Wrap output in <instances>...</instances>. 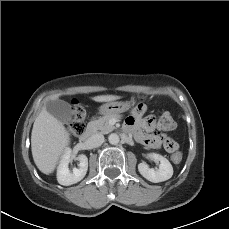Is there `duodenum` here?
<instances>
[{
	"mask_svg": "<svg viewBox=\"0 0 229 229\" xmlns=\"http://www.w3.org/2000/svg\"><path fill=\"white\" fill-rule=\"evenodd\" d=\"M95 133L94 128L90 127L81 137L80 141L87 142L91 136Z\"/></svg>",
	"mask_w": 229,
	"mask_h": 229,
	"instance_id": "duodenum-1",
	"label": "duodenum"
}]
</instances>
